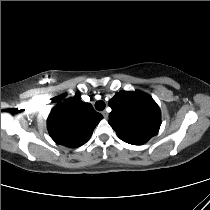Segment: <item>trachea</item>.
Segmentation results:
<instances>
[{
	"instance_id": "1",
	"label": "trachea",
	"mask_w": 210,
	"mask_h": 210,
	"mask_svg": "<svg viewBox=\"0 0 210 210\" xmlns=\"http://www.w3.org/2000/svg\"><path fill=\"white\" fill-rule=\"evenodd\" d=\"M95 108L98 110V111H102L105 109V102L102 101V100H99L95 103Z\"/></svg>"
}]
</instances>
